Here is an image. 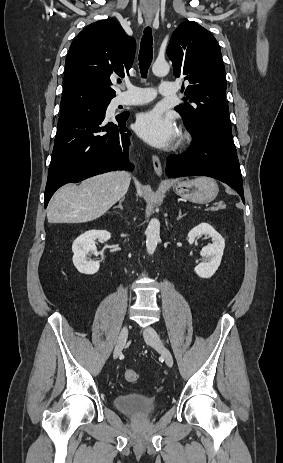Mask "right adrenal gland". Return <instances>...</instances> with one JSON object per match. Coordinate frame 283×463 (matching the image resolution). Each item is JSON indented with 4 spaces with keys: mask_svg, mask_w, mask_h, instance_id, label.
I'll list each match as a JSON object with an SVG mask.
<instances>
[{
    "mask_svg": "<svg viewBox=\"0 0 283 463\" xmlns=\"http://www.w3.org/2000/svg\"><path fill=\"white\" fill-rule=\"evenodd\" d=\"M124 200H125V197H123V198L119 201V205H118V206H115L114 209H115V208H119V209L123 210L122 203H123Z\"/></svg>",
    "mask_w": 283,
    "mask_h": 463,
    "instance_id": "2a0ac1e0",
    "label": "right adrenal gland"
}]
</instances>
